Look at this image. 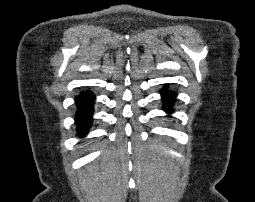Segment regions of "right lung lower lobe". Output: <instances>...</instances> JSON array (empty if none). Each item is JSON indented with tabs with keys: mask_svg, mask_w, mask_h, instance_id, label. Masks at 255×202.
Instances as JSON below:
<instances>
[{
	"mask_svg": "<svg viewBox=\"0 0 255 202\" xmlns=\"http://www.w3.org/2000/svg\"><path fill=\"white\" fill-rule=\"evenodd\" d=\"M77 113L76 124L79 136H84L92 124V114L94 112L95 95L91 92H82L75 97Z\"/></svg>",
	"mask_w": 255,
	"mask_h": 202,
	"instance_id": "obj_1",
	"label": "right lung lower lobe"
}]
</instances>
